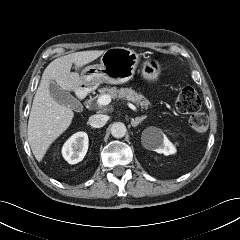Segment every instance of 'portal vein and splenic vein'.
Wrapping results in <instances>:
<instances>
[{
    "mask_svg": "<svg viewBox=\"0 0 240 240\" xmlns=\"http://www.w3.org/2000/svg\"><path fill=\"white\" fill-rule=\"evenodd\" d=\"M110 102H111V97L109 95H101L97 99L96 103H97L98 107H102V106L108 105ZM128 106L130 109L137 112V108L133 104L128 103Z\"/></svg>",
    "mask_w": 240,
    "mask_h": 240,
    "instance_id": "obj_1",
    "label": "portal vein and splenic vein"
}]
</instances>
